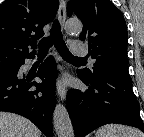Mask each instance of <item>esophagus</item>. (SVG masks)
<instances>
[{"label":"esophagus","instance_id":"esophagus-1","mask_svg":"<svg viewBox=\"0 0 144 137\" xmlns=\"http://www.w3.org/2000/svg\"><path fill=\"white\" fill-rule=\"evenodd\" d=\"M58 19L63 26L66 20V3L64 0H60L59 2ZM57 92L61 100L66 98L67 89L61 79H59L57 82Z\"/></svg>","mask_w":144,"mask_h":137}]
</instances>
